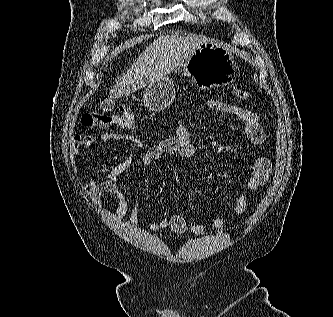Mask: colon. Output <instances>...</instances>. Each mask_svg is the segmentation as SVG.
Returning <instances> with one entry per match:
<instances>
[{"instance_id": "obj_1", "label": "colon", "mask_w": 333, "mask_h": 317, "mask_svg": "<svg viewBox=\"0 0 333 317\" xmlns=\"http://www.w3.org/2000/svg\"><path fill=\"white\" fill-rule=\"evenodd\" d=\"M233 94L239 99H249L250 93L238 88L233 89ZM134 113L127 106H122L118 113L108 114L98 111H90L82 116L81 122L87 128L117 127L131 129L134 125Z\"/></svg>"}]
</instances>
